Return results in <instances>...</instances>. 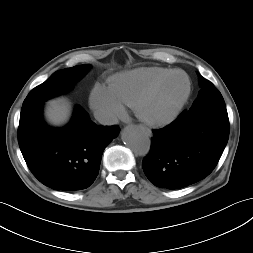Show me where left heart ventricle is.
<instances>
[{
	"mask_svg": "<svg viewBox=\"0 0 253 253\" xmlns=\"http://www.w3.org/2000/svg\"><path fill=\"white\" fill-rule=\"evenodd\" d=\"M187 89V82L183 75L171 78L152 98L148 111L154 116L168 114L182 98Z\"/></svg>",
	"mask_w": 253,
	"mask_h": 253,
	"instance_id": "b2bd125f",
	"label": "left heart ventricle"
}]
</instances>
